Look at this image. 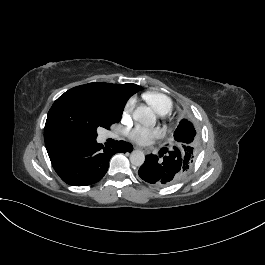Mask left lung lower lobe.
Segmentation results:
<instances>
[{
  "label": "left lung lower lobe",
  "mask_w": 265,
  "mask_h": 265,
  "mask_svg": "<svg viewBox=\"0 0 265 265\" xmlns=\"http://www.w3.org/2000/svg\"><path fill=\"white\" fill-rule=\"evenodd\" d=\"M182 156L178 150L162 148L159 156L147 155L138 174L144 181L156 186H168L184 177Z\"/></svg>",
  "instance_id": "1"
}]
</instances>
